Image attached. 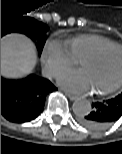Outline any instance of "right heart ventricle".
<instances>
[{
  "label": "right heart ventricle",
  "instance_id": "e07e8e85",
  "mask_svg": "<svg viewBox=\"0 0 122 154\" xmlns=\"http://www.w3.org/2000/svg\"><path fill=\"white\" fill-rule=\"evenodd\" d=\"M65 43L76 61L103 48L116 45L112 40L96 34L78 35L67 39Z\"/></svg>",
  "mask_w": 122,
  "mask_h": 154
}]
</instances>
